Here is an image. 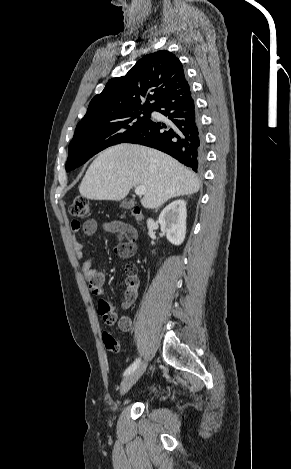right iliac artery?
Here are the masks:
<instances>
[{
  "label": "right iliac artery",
  "instance_id": "obj_1",
  "mask_svg": "<svg viewBox=\"0 0 291 469\" xmlns=\"http://www.w3.org/2000/svg\"><path fill=\"white\" fill-rule=\"evenodd\" d=\"M140 364V359H136L124 372V376L130 374L131 372H133L134 370L137 369V367L139 366Z\"/></svg>",
  "mask_w": 291,
  "mask_h": 469
}]
</instances>
